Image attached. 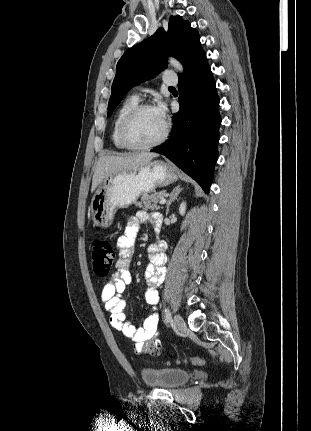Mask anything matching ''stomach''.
<instances>
[{"label": "stomach", "mask_w": 311, "mask_h": 431, "mask_svg": "<svg viewBox=\"0 0 311 431\" xmlns=\"http://www.w3.org/2000/svg\"><path fill=\"white\" fill-rule=\"evenodd\" d=\"M177 170L162 160H153L138 172L112 174L98 186L90 204V216L95 227H110L120 208L136 204L140 196H148L157 188L177 182Z\"/></svg>", "instance_id": "obj_1"}]
</instances>
